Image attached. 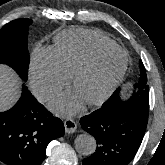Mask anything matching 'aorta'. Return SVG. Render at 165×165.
I'll list each match as a JSON object with an SVG mask.
<instances>
[{"label":"aorta","instance_id":"1","mask_svg":"<svg viewBox=\"0 0 165 165\" xmlns=\"http://www.w3.org/2000/svg\"><path fill=\"white\" fill-rule=\"evenodd\" d=\"M76 151L84 156L93 154L96 150V139L90 134H80L74 141Z\"/></svg>","mask_w":165,"mask_h":165}]
</instances>
